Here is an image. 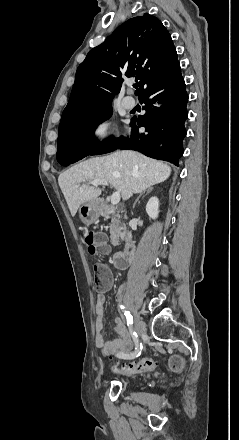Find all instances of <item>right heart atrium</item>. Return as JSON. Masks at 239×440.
<instances>
[{"instance_id":"obj_1","label":"right heart atrium","mask_w":239,"mask_h":440,"mask_svg":"<svg viewBox=\"0 0 239 440\" xmlns=\"http://www.w3.org/2000/svg\"><path fill=\"white\" fill-rule=\"evenodd\" d=\"M86 139L90 145L96 147L112 144L115 140V132L111 118L104 116L94 121L87 129Z\"/></svg>"}]
</instances>
